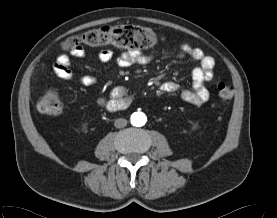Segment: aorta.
I'll use <instances>...</instances> for the list:
<instances>
[{
  "instance_id": "aorta-1",
  "label": "aorta",
  "mask_w": 277,
  "mask_h": 218,
  "mask_svg": "<svg viewBox=\"0 0 277 218\" xmlns=\"http://www.w3.org/2000/svg\"><path fill=\"white\" fill-rule=\"evenodd\" d=\"M146 120V116L142 112H134L130 117L131 124L137 127L143 126Z\"/></svg>"
}]
</instances>
